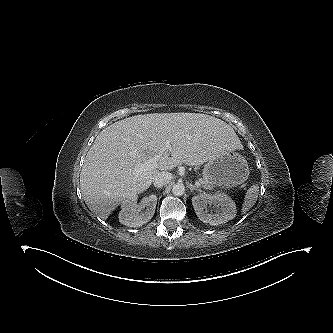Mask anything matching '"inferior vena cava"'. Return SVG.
I'll return each mask as SVG.
<instances>
[{"mask_svg": "<svg viewBox=\"0 0 333 333\" xmlns=\"http://www.w3.org/2000/svg\"><path fill=\"white\" fill-rule=\"evenodd\" d=\"M173 178V175L167 171L158 172L153 179V184L157 188H161L164 185L168 184L171 179Z\"/></svg>", "mask_w": 333, "mask_h": 333, "instance_id": "obj_1", "label": "inferior vena cava"}]
</instances>
